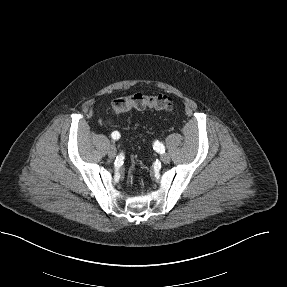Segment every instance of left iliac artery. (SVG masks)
Masks as SVG:
<instances>
[{
	"mask_svg": "<svg viewBox=\"0 0 287 287\" xmlns=\"http://www.w3.org/2000/svg\"><path fill=\"white\" fill-rule=\"evenodd\" d=\"M154 149L159 153L165 152V146L162 143H160L159 141L154 142Z\"/></svg>",
	"mask_w": 287,
	"mask_h": 287,
	"instance_id": "obj_1",
	"label": "left iliac artery"
}]
</instances>
